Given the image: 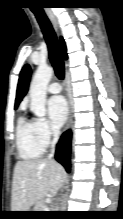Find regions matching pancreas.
<instances>
[{"mask_svg":"<svg viewBox=\"0 0 123 219\" xmlns=\"http://www.w3.org/2000/svg\"><path fill=\"white\" fill-rule=\"evenodd\" d=\"M45 206L46 205L42 201H38V202H36V204L34 206V210L35 211H44Z\"/></svg>","mask_w":123,"mask_h":219,"instance_id":"pancreas-1","label":"pancreas"}]
</instances>
